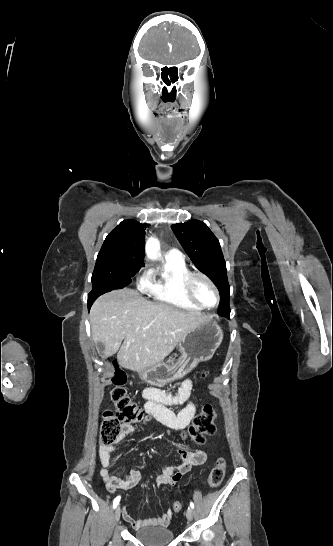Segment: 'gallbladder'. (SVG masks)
Wrapping results in <instances>:
<instances>
[{
	"label": "gallbladder",
	"instance_id": "gallbladder-1",
	"mask_svg": "<svg viewBox=\"0 0 333 546\" xmlns=\"http://www.w3.org/2000/svg\"><path fill=\"white\" fill-rule=\"evenodd\" d=\"M97 350L99 351V353H101L103 355L104 345L102 343H98L97 344Z\"/></svg>",
	"mask_w": 333,
	"mask_h": 546
}]
</instances>
